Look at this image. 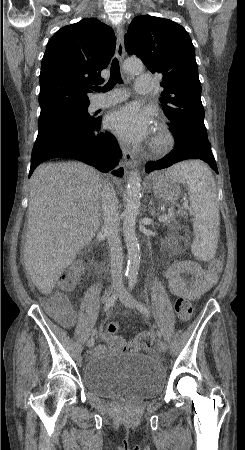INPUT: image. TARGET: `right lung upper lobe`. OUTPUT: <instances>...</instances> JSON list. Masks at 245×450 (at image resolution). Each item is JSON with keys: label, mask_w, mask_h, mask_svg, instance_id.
I'll return each instance as SVG.
<instances>
[{"label": "right lung upper lobe", "mask_w": 245, "mask_h": 450, "mask_svg": "<svg viewBox=\"0 0 245 450\" xmlns=\"http://www.w3.org/2000/svg\"><path fill=\"white\" fill-rule=\"evenodd\" d=\"M114 31L85 18L61 28L48 41L40 72L41 110L89 104L87 94L103 79L100 73L113 55Z\"/></svg>", "instance_id": "obj_1"}]
</instances>
